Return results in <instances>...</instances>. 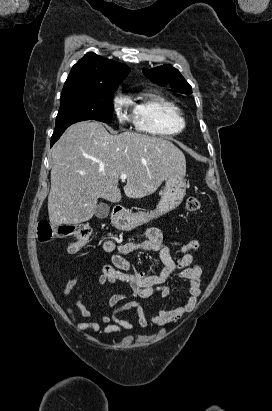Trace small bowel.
Listing matches in <instances>:
<instances>
[{
	"mask_svg": "<svg viewBox=\"0 0 272 411\" xmlns=\"http://www.w3.org/2000/svg\"><path fill=\"white\" fill-rule=\"evenodd\" d=\"M174 247L180 254L178 259L173 258L172 247L165 244L162 231L156 227L148 228L142 241H128L120 244L112 240L105 241L103 249L112 254V263L103 267L97 282L99 285L124 283L129 286L130 291L117 293L109 298L107 305L112 309V312L102 313L100 317L101 322L106 325L104 328L99 322L91 320L93 312L85 306L84 293L81 292L76 298L75 306L81 316L87 320L77 321L73 310L70 307L67 308L76 327L79 330L93 333L103 331L106 335L116 334L134 329L135 326L132 322L121 318L122 314L129 311L136 313L138 327L145 329L149 324L163 326L174 322L184 314L194 310L202 292L203 270L201 265L195 261L192 251H197L200 248V243L198 240H190L175 243ZM140 250L158 253L163 265L158 274H145L134 263L125 258L126 255ZM177 270H180L179 277L187 282L186 290L182 294L186 297V301L174 308H158L153 314L147 316L140 304L134 299H145L154 295H160L162 298L167 297L171 293L168 280ZM83 274L84 271H79L68 280L63 289L64 296L70 295Z\"/></svg>",
	"mask_w": 272,
	"mask_h": 411,
	"instance_id": "1",
	"label": "small bowel"
}]
</instances>
